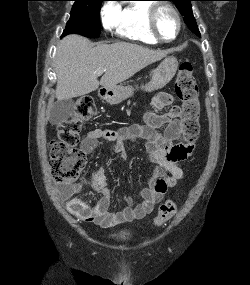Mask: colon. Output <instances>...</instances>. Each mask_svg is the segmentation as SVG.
<instances>
[{
	"label": "colon",
	"instance_id": "5ec220e1",
	"mask_svg": "<svg viewBox=\"0 0 250 285\" xmlns=\"http://www.w3.org/2000/svg\"><path fill=\"white\" fill-rule=\"evenodd\" d=\"M175 90L182 104L179 109L182 136L187 143L191 144L200 131L199 91L191 63L183 62L180 65ZM96 113L93 100L90 97H83L77 101L73 116L59 125L58 138L50 143L49 148L52 174L57 182H74L84 168L85 155L76 146L83 122L95 117ZM176 212L175 201L166 200L161 203L154 219L155 225H164Z\"/></svg>",
	"mask_w": 250,
	"mask_h": 285
}]
</instances>
